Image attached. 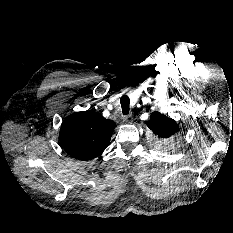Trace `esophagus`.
Returning <instances> with one entry per match:
<instances>
[{
    "mask_svg": "<svg viewBox=\"0 0 233 233\" xmlns=\"http://www.w3.org/2000/svg\"><path fill=\"white\" fill-rule=\"evenodd\" d=\"M133 120L132 114H128L124 117V121L126 122H131Z\"/></svg>",
    "mask_w": 233,
    "mask_h": 233,
    "instance_id": "34e87169",
    "label": "esophagus"
}]
</instances>
